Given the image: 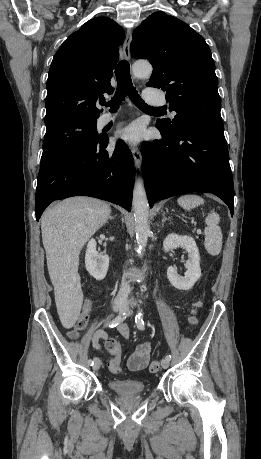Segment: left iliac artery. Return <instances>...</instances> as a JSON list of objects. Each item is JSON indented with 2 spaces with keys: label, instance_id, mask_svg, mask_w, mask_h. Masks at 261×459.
I'll return each instance as SVG.
<instances>
[{
  "label": "left iliac artery",
  "instance_id": "left-iliac-artery-1",
  "mask_svg": "<svg viewBox=\"0 0 261 459\" xmlns=\"http://www.w3.org/2000/svg\"><path fill=\"white\" fill-rule=\"evenodd\" d=\"M135 322H136V325H137L138 329L144 330L145 323H144V320H143V310L142 309H140L138 314L136 315ZM165 358L170 360L171 359V355H166Z\"/></svg>",
  "mask_w": 261,
  "mask_h": 459
}]
</instances>
